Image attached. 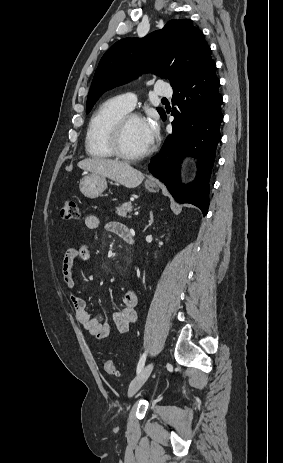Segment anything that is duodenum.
I'll use <instances>...</instances> for the list:
<instances>
[{
	"instance_id": "obj_1",
	"label": "duodenum",
	"mask_w": 283,
	"mask_h": 463,
	"mask_svg": "<svg viewBox=\"0 0 283 463\" xmlns=\"http://www.w3.org/2000/svg\"><path fill=\"white\" fill-rule=\"evenodd\" d=\"M125 241L129 244H134L135 242V238L134 236L131 234V233H128L126 236H125Z\"/></svg>"
}]
</instances>
